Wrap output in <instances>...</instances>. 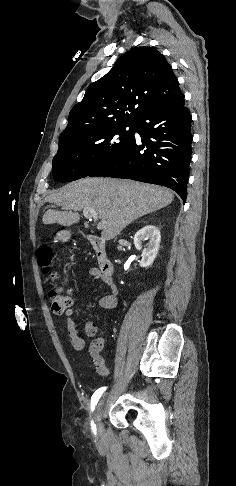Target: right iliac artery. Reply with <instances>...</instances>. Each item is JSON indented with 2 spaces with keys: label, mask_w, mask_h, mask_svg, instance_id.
<instances>
[{
  "label": "right iliac artery",
  "mask_w": 236,
  "mask_h": 486,
  "mask_svg": "<svg viewBox=\"0 0 236 486\" xmlns=\"http://www.w3.org/2000/svg\"><path fill=\"white\" fill-rule=\"evenodd\" d=\"M105 390H106V387H102V388H99L98 390H96L95 393L93 394V396L91 398V410L92 411H94L95 406L97 405L99 398L101 397L102 393ZM91 426H92V430H93L94 434H96V425L94 424L93 421L91 422Z\"/></svg>",
  "instance_id": "1"
}]
</instances>
